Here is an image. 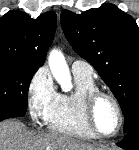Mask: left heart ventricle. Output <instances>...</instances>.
Instances as JSON below:
<instances>
[{"label":"left heart ventricle","instance_id":"obj_1","mask_svg":"<svg viewBox=\"0 0 139 150\" xmlns=\"http://www.w3.org/2000/svg\"><path fill=\"white\" fill-rule=\"evenodd\" d=\"M94 121L103 134L113 133L118 125V116L113 103L105 97L98 100L94 109Z\"/></svg>","mask_w":139,"mask_h":150}]
</instances>
